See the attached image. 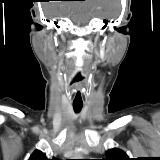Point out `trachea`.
Listing matches in <instances>:
<instances>
[{"label": "trachea", "mask_w": 160, "mask_h": 160, "mask_svg": "<svg viewBox=\"0 0 160 160\" xmlns=\"http://www.w3.org/2000/svg\"><path fill=\"white\" fill-rule=\"evenodd\" d=\"M83 105H74L73 104V109L76 113L80 112L82 109Z\"/></svg>", "instance_id": "1"}]
</instances>
